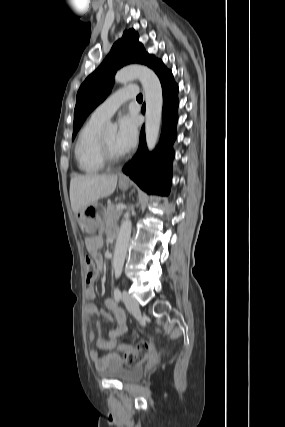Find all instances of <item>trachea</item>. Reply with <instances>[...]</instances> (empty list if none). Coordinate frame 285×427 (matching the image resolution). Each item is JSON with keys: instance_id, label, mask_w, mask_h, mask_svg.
<instances>
[{"instance_id": "1", "label": "trachea", "mask_w": 285, "mask_h": 427, "mask_svg": "<svg viewBox=\"0 0 285 427\" xmlns=\"http://www.w3.org/2000/svg\"><path fill=\"white\" fill-rule=\"evenodd\" d=\"M142 99H143L142 94H139V95L137 96V100H142Z\"/></svg>"}]
</instances>
